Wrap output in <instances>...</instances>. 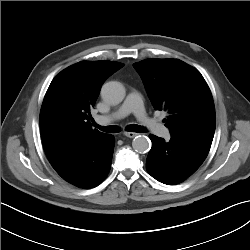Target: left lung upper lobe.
<instances>
[{
    "label": "left lung upper lobe",
    "mask_w": 250,
    "mask_h": 250,
    "mask_svg": "<svg viewBox=\"0 0 250 250\" xmlns=\"http://www.w3.org/2000/svg\"><path fill=\"white\" fill-rule=\"evenodd\" d=\"M133 66L155 110L168 113L164 122L171 135L213 139L214 102L199 71L178 59H146Z\"/></svg>",
    "instance_id": "left-lung-upper-lobe-1"
}]
</instances>
